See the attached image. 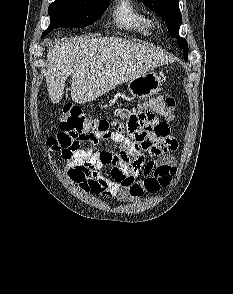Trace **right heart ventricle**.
I'll use <instances>...</instances> for the list:
<instances>
[{"mask_svg": "<svg viewBox=\"0 0 233 294\" xmlns=\"http://www.w3.org/2000/svg\"><path fill=\"white\" fill-rule=\"evenodd\" d=\"M113 18L116 25L121 29L141 35H150L152 32L151 19L131 0H118L113 10Z\"/></svg>", "mask_w": 233, "mask_h": 294, "instance_id": "1", "label": "right heart ventricle"}]
</instances>
